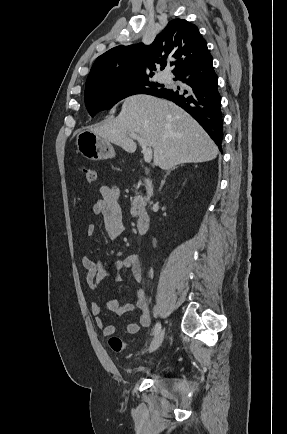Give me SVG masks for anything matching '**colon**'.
I'll return each instance as SVG.
<instances>
[{"label": "colon", "instance_id": "5ec220e1", "mask_svg": "<svg viewBox=\"0 0 287 434\" xmlns=\"http://www.w3.org/2000/svg\"><path fill=\"white\" fill-rule=\"evenodd\" d=\"M83 173L88 182H96L99 179V170L97 168H84ZM109 346L114 352L120 353L126 349L127 344L120 338L112 336L108 340Z\"/></svg>", "mask_w": 287, "mask_h": 434}]
</instances>
